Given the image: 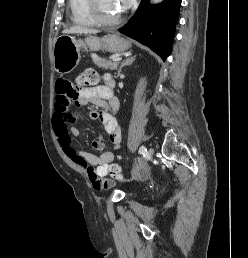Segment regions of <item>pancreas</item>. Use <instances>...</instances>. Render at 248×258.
Returning <instances> with one entry per match:
<instances>
[{
    "label": "pancreas",
    "instance_id": "obj_1",
    "mask_svg": "<svg viewBox=\"0 0 248 258\" xmlns=\"http://www.w3.org/2000/svg\"><path fill=\"white\" fill-rule=\"evenodd\" d=\"M91 57H92L94 64L100 68H104V69L109 68L111 70H115V69H117L118 64H119V62H113L110 60L102 59L94 54H92Z\"/></svg>",
    "mask_w": 248,
    "mask_h": 258
}]
</instances>
